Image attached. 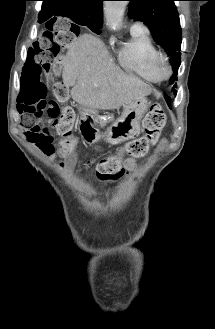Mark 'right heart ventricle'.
<instances>
[{"label":"right heart ventricle","instance_id":"obj_1","mask_svg":"<svg viewBox=\"0 0 215 329\" xmlns=\"http://www.w3.org/2000/svg\"><path fill=\"white\" fill-rule=\"evenodd\" d=\"M159 53L147 31H131L130 39L117 51V61L125 71L158 83L161 79L154 69V60Z\"/></svg>","mask_w":215,"mask_h":329}]
</instances>
